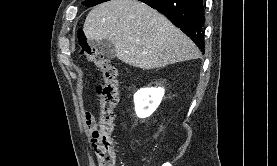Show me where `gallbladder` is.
<instances>
[{"mask_svg": "<svg viewBox=\"0 0 277 166\" xmlns=\"http://www.w3.org/2000/svg\"><path fill=\"white\" fill-rule=\"evenodd\" d=\"M89 43L90 45L97 47L99 51L102 53V55H104L107 58L112 59L116 56L114 44L107 39H103L100 41L89 40Z\"/></svg>", "mask_w": 277, "mask_h": 166, "instance_id": "bac80fb5", "label": "gallbladder"}]
</instances>
